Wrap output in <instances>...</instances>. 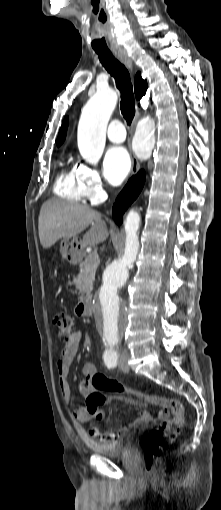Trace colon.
Here are the masks:
<instances>
[{
    "label": "colon",
    "mask_w": 221,
    "mask_h": 510,
    "mask_svg": "<svg viewBox=\"0 0 221 510\" xmlns=\"http://www.w3.org/2000/svg\"><path fill=\"white\" fill-rule=\"evenodd\" d=\"M53 323L57 329L59 339L64 343L69 342L76 331L74 318L66 312H58L54 315ZM89 381L95 392L86 397L88 408L99 406L105 402V397L101 391L127 394L137 398L140 405L152 403L162 408L155 416V420L161 422L160 426L152 430L144 442V469L146 473H151L156 460L180 434L184 423L183 403L178 399H166L156 395L142 394L99 372L94 373ZM128 402L135 403L133 400H128ZM169 413L172 415L171 418H168ZM101 418L102 415L99 414L98 419Z\"/></svg>",
    "instance_id": "5ec220e1"
}]
</instances>
